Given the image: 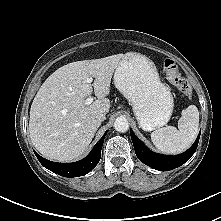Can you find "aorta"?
Instances as JSON below:
<instances>
[{"instance_id":"aorta-1","label":"aorta","mask_w":221,"mask_h":221,"mask_svg":"<svg viewBox=\"0 0 221 221\" xmlns=\"http://www.w3.org/2000/svg\"><path fill=\"white\" fill-rule=\"evenodd\" d=\"M114 128L118 132H126L129 129V122L123 116L117 117L114 122Z\"/></svg>"}]
</instances>
